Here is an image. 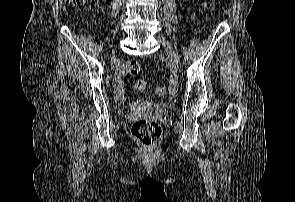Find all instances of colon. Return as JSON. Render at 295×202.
<instances>
[{
    "label": "colon",
    "instance_id": "colon-1",
    "mask_svg": "<svg viewBox=\"0 0 295 202\" xmlns=\"http://www.w3.org/2000/svg\"><path fill=\"white\" fill-rule=\"evenodd\" d=\"M72 5L80 7L84 4L85 0H70ZM128 70L132 75H137L141 72L142 66L137 61H132L128 64ZM148 87L146 81L139 80L135 83L137 91H144ZM156 93L160 96L166 94V88L158 86ZM161 126L154 117H143L137 120L132 127L133 136L144 146L154 145L161 136Z\"/></svg>",
    "mask_w": 295,
    "mask_h": 202
}]
</instances>
